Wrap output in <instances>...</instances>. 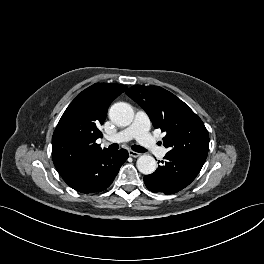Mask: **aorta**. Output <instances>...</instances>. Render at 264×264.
Returning a JSON list of instances; mask_svg holds the SVG:
<instances>
[{
  "label": "aorta",
  "mask_w": 264,
  "mask_h": 264,
  "mask_svg": "<svg viewBox=\"0 0 264 264\" xmlns=\"http://www.w3.org/2000/svg\"><path fill=\"white\" fill-rule=\"evenodd\" d=\"M134 112L132 107L124 102L113 104L109 110L110 120L120 127H126L133 121ZM138 170L145 175L152 174L157 167L155 159L150 155H142L137 159Z\"/></svg>",
  "instance_id": "obj_1"
}]
</instances>
